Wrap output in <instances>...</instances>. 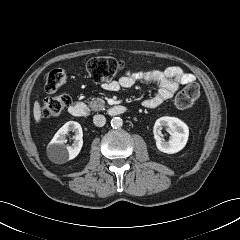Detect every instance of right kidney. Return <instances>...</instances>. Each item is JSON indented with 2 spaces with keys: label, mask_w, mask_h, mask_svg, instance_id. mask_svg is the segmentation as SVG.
<instances>
[{
  "label": "right kidney",
  "mask_w": 240,
  "mask_h": 240,
  "mask_svg": "<svg viewBox=\"0 0 240 240\" xmlns=\"http://www.w3.org/2000/svg\"><path fill=\"white\" fill-rule=\"evenodd\" d=\"M69 131L75 132V140L71 146L65 145L66 134ZM82 137V127L78 122L69 121L65 123L56 132L53 139L49 143L47 148L48 157L56 164H63L74 159L79 154L83 146Z\"/></svg>",
  "instance_id": "1"
}]
</instances>
